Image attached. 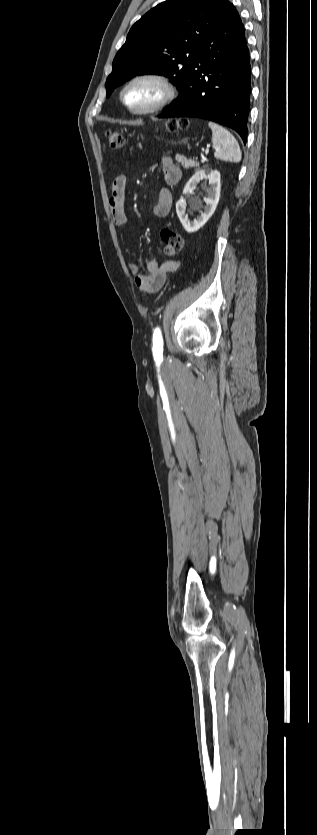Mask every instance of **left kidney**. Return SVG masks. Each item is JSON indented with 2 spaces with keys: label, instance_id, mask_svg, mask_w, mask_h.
<instances>
[{
  "label": "left kidney",
  "instance_id": "left-kidney-1",
  "mask_svg": "<svg viewBox=\"0 0 317 835\" xmlns=\"http://www.w3.org/2000/svg\"><path fill=\"white\" fill-rule=\"evenodd\" d=\"M202 179L209 180L210 187L207 190L206 196L203 198L206 205L203 207V211L200 212V215L197 218L193 221H189L188 215L185 212L187 203L183 197H181L176 203L177 216L179 217L184 229L189 233L195 232L205 225L215 212L220 198V172L209 168L198 170L185 185L183 194H187L192 191ZM200 207V204L193 205L194 209H199Z\"/></svg>",
  "mask_w": 317,
  "mask_h": 835
}]
</instances>
